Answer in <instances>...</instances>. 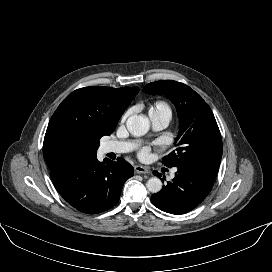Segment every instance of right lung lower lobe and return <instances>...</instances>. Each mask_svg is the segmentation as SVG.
I'll return each mask as SVG.
<instances>
[{
  "mask_svg": "<svg viewBox=\"0 0 272 272\" xmlns=\"http://www.w3.org/2000/svg\"><path fill=\"white\" fill-rule=\"evenodd\" d=\"M50 175L56 190L72 207L97 214L118 203L123 184L133 176V167L123 158L101 163L95 154L55 167Z\"/></svg>",
  "mask_w": 272,
  "mask_h": 272,
  "instance_id": "right-lung-lower-lobe-1",
  "label": "right lung lower lobe"
}]
</instances>
